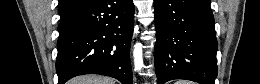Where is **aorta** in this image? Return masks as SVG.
Here are the masks:
<instances>
[{"label":"aorta","instance_id":"aorta-1","mask_svg":"<svg viewBox=\"0 0 260 84\" xmlns=\"http://www.w3.org/2000/svg\"><path fill=\"white\" fill-rule=\"evenodd\" d=\"M134 65L136 70L143 68L142 44L136 43L133 50Z\"/></svg>","mask_w":260,"mask_h":84}]
</instances>
